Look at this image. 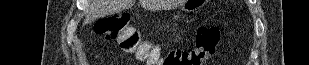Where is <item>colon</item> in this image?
<instances>
[{"label": "colon", "mask_w": 309, "mask_h": 65, "mask_svg": "<svg viewBox=\"0 0 309 65\" xmlns=\"http://www.w3.org/2000/svg\"><path fill=\"white\" fill-rule=\"evenodd\" d=\"M95 32L107 41H117L123 51L133 53L137 60L147 65H202L216 52L221 36L218 27L201 26L196 33L194 48H172L163 54L158 47L142 39L127 13L99 19Z\"/></svg>", "instance_id": "1"}]
</instances>
